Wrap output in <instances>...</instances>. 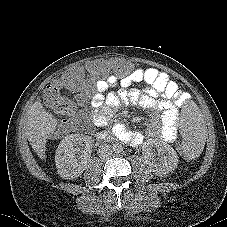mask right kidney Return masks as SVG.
I'll use <instances>...</instances> for the list:
<instances>
[{
    "label": "right kidney",
    "instance_id": "1",
    "mask_svg": "<svg viewBox=\"0 0 227 227\" xmlns=\"http://www.w3.org/2000/svg\"><path fill=\"white\" fill-rule=\"evenodd\" d=\"M92 138L82 134L67 135L58 145L55 163L58 174L64 179L79 177L91 157ZM80 146H84L83 150Z\"/></svg>",
    "mask_w": 227,
    "mask_h": 227
}]
</instances>
